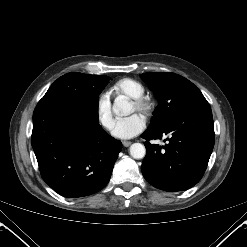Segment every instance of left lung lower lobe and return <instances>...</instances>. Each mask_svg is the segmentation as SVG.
<instances>
[{
  "instance_id": "obj_1",
  "label": "left lung lower lobe",
  "mask_w": 247,
  "mask_h": 247,
  "mask_svg": "<svg viewBox=\"0 0 247 247\" xmlns=\"http://www.w3.org/2000/svg\"><path fill=\"white\" fill-rule=\"evenodd\" d=\"M166 135L165 146L149 143ZM142 137L147 140L141 166L144 178L161 190H187L202 178L214 147L211 108L196 109L161 128L147 129Z\"/></svg>"
}]
</instances>
